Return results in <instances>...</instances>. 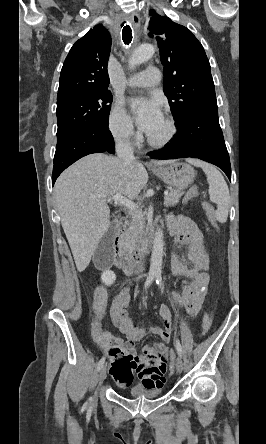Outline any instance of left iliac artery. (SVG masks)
Wrapping results in <instances>:
<instances>
[{
	"mask_svg": "<svg viewBox=\"0 0 266 444\" xmlns=\"http://www.w3.org/2000/svg\"><path fill=\"white\" fill-rule=\"evenodd\" d=\"M155 277H156V283L162 289V277H161V274L158 273V274H156ZM175 346H176V350H177L178 355L182 356V347H181V344H180L178 339L175 340Z\"/></svg>",
	"mask_w": 266,
	"mask_h": 444,
	"instance_id": "left-iliac-artery-1",
	"label": "left iliac artery"
}]
</instances>
